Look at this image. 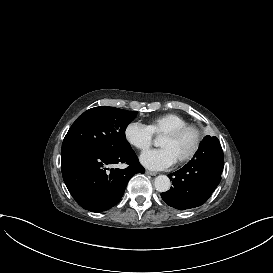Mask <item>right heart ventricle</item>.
Returning a JSON list of instances; mask_svg holds the SVG:
<instances>
[{
	"label": "right heart ventricle",
	"instance_id": "obj_1",
	"mask_svg": "<svg viewBox=\"0 0 273 273\" xmlns=\"http://www.w3.org/2000/svg\"><path fill=\"white\" fill-rule=\"evenodd\" d=\"M189 124V120L176 113H166L151 118L146 124H144L153 136H161L162 133L185 126Z\"/></svg>",
	"mask_w": 273,
	"mask_h": 273
}]
</instances>
